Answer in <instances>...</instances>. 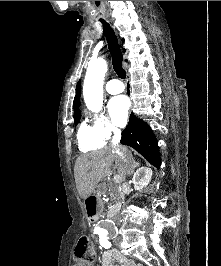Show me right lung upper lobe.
Instances as JSON below:
<instances>
[{
    "label": "right lung upper lobe",
    "instance_id": "right-lung-upper-lobe-1",
    "mask_svg": "<svg viewBox=\"0 0 221 266\" xmlns=\"http://www.w3.org/2000/svg\"><path fill=\"white\" fill-rule=\"evenodd\" d=\"M125 52V50H123ZM81 81H79L77 83V86H76V95H75V98H74V115H78L80 114V110H79V106H80V94H81Z\"/></svg>",
    "mask_w": 221,
    "mask_h": 266
}]
</instances>
